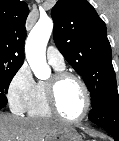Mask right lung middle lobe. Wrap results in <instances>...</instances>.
<instances>
[{"label":"right lung middle lobe","instance_id":"dd1d6c3e","mask_svg":"<svg viewBox=\"0 0 119 141\" xmlns=\"http://www.w3.org/2000/svg\"><path fill=\"white\" fill-rule=\"evenodd\" d=\"M19 68H0V107L7 103L6 93L9 84Z\"/></svg>","mask_w":119,"mask_h":141}]
</instances>
